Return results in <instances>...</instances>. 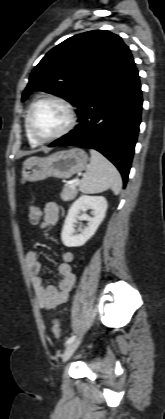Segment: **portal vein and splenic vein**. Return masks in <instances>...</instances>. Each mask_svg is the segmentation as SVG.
Returning a JSON list of instances; mask_svg holds the SVG:
<instances>
[{
    "mask_svg": "<svg viewBox=\"0 0 165 419\" xmlns=\"http://www.w3.org/2000/svg\"><path fill=\"white\" fill-rule=\"evenodd\" d=\"M79 183V179H75L71 182V184L77 185Z\"/></svg>",
    "mask_w": 165,
    "mask_h": 419,
    "instance_id": "portal-vein-and-splenic-vein-1",
    "label": "portal vein and splenic vein"
}]
</instances>
